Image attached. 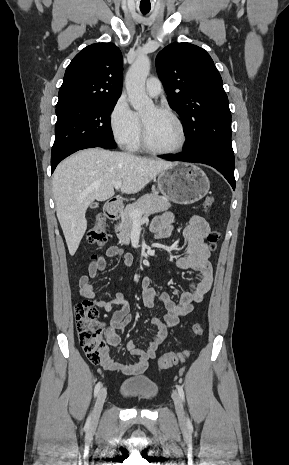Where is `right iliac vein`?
Wrapping results in <instances>:
<instances>
[{
	"mask_svg": "<svg viewBox=\"0 0 289 465\" xmlns=\"http://www.w3.org/2000/svg\"><path fill=\"white\" fill-rule=\"evenodd\" d=\"M106 396H107V390L106 388H102L97 395L96 403L94 406L93 416H92L93 422H96L99 419Z\"/></svg>",
	"mask_w": 289,
	"mask_h": 465,
	"instance_id": "1",
	"label": "right iliac vein"
}]
</instances>
